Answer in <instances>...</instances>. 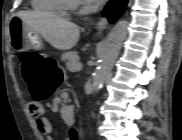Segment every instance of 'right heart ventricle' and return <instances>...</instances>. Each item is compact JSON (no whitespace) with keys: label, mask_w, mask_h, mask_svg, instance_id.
Masks as SVG:
<instances>
[{"label":"right heart ventricle","mask_w":182,"mask_h":140,"mask_svg":"<svg viewBox=\"0 0 182 140\" xmlns=\"http://www.w3.org/2000/svg\"><path fill=\"white\" fill-rule=\"evenodd\" d=\"M69 0H32L34 10L57 15H65Z\"/></svg>","instance_id":"e07e8e85"}]
</instances>
